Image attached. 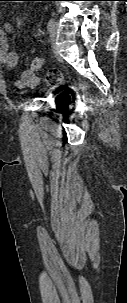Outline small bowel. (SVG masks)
<instances>
[{"mask_svg": "<svg viewBox=\"0 0 127 303\" xmlns=\"http://www.w3.org/2000/svg\"><path fill=\"white\" fill-rule=\"evenodd\" d=\"M12 32V27L9 24H4L0 27V63L7 69H14L18 63L17 52L10 49L7 40V34ZM39 83V77L34 69H27L22 73L21 79L17 82L20 87L35 86Z\"/></svg>", "mask_w": 127, "mask_h": 303, "instance_id": "obj_1", "label": "small bowel"}]
</instances>
